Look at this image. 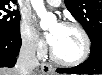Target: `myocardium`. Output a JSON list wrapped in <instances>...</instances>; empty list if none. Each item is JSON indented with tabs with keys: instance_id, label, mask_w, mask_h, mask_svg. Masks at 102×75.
Instances as JSON below:
<instances>
[{
	"instance_id": "f54148a6",
	"label": "myocardium",
	"mask_w": 102,
	"mask_h": 75,
	"mask_svg": "<svg viewBox=\"0 0 102 75\" xmlns=\"http://www.w3.org/2000/svg\"><path fill=\"white\" fill-rule=\"evenodd\" d=\"M60 25L69 26V27H73V28L77 29L82 36V39L84 42V49H83V52L80 57H78L77 59L72 60V61H66V60H63L60 57H58L56 55V53L54 52L52 46L50 45L49 54H50L51 59L54 62H56L60 65H63V66H74V65H78V64L82 63L83 61H85L88 58V56L90 54V50H91V43H90V39H89V36H88L86 30L84 29V27L81 24H79L78 22H76L75 20H72V19L63 20L60 22Z\"/></svg>"
}]
</instances>
